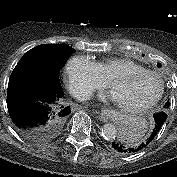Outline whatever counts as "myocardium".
<instances>
[{
    "mask_svg": "<svg viewBox=\"0 0 177 177\" xmlns=\"http://www.w3.org/2000/svg\"><path fill=\"white\" fill-rule=\"evenodd\" d=\"M139 76H152L156 78L159 82V90L157 94L151 100L141 105L127 106V105H123L115 101V104L117 105V107L123 111L132 112V113H140V112L147 111L153 106H155L160 101V99L162 98L164 94L165 84H164V80L162 76L158 74L157 72L150 71L147 69L133 70V71H128V72L118 74L109 81V88L112 90L115 87V85L118 84L119 82L129 79V78H134V77H139Z\"/></svg>",
    "mask_w": 177,
    "mask_h": 177,
    "instance_id": "obj_1",
    "label": "myocardium"
}]
</instances>
